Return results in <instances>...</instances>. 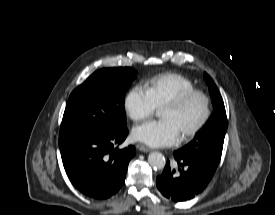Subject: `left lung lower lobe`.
I'll list each match as a JSON object with an SVG mask.
<instances>
[{
    "instance_id": "1",
    "label": "left lung lower lobe",
    "mask_w": 275,
    "mask_h": 215,
    "mask_svg": "<svg viewBox=\"0 0 275 215\" xmlns=\"http://www.w3.org/2000/svg\"><path fill=\"white\" fill-rule=\"evenodd\" d=\"M177 168L167 161L163 173L156 178V185L169 200L180 202L200 194L212 179L217 166L197 158L174 152Z\"/></svg>"
}]
</instances>
